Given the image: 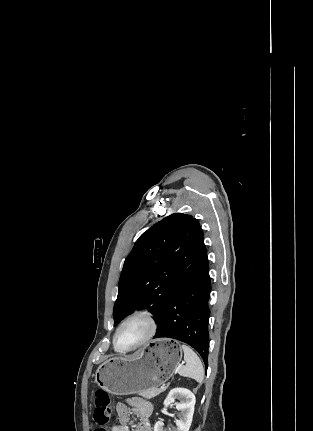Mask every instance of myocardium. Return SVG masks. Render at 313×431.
Returning a JSON list of instances; mask_svg holds the SVG:
<instances>
[{"label": "myocardium", "mask_w": 313, "mask_h": 431, "mask_svg": "<svg viewBox=\"0 0 313 431\" xmlns=\"http://www.w3.org/2000/svg\"><path fill=\"white\" fill-rule=\"evenodd\" d=\"M135 319H144L148 325H149V330L147 335L144 337L143 340H141L139 343H137L136 345L130 347V348H126V349H122L120 347H118L117 345V336L118 333L120 332V330L122 329V327L127 324L128 322L135 320ZM158 331V321L155 317V315L150 312L149 310H137L133 313H131L129 316H127L121 323L120 325L117 327L114 336H113V345L114 348L119 351V352H131L134 351L136 349H139L145 345H147L156 335Z\"/></svg>", "instance_id": "obj_1"}]
</instances>
